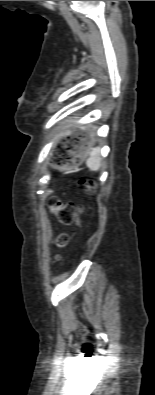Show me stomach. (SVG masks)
Returning <instances> with one entry per match:
<instances>
[{"instance_id":"1","label":"stomach","mask_w":155,"mask_h":395,"mask_svg":"<svg viewBox=\"0 0 155 395\" xmlns=\"http://www.w3.org/2000/svg\"><path fill=\"white\" fill-rule=\"evenodd\" d=\"M91 144L92 142L88 136H86L85 138H81L80 142L70 151L72 157L71 163H82L90 153Z\"/></svg>"}]
</instances>
